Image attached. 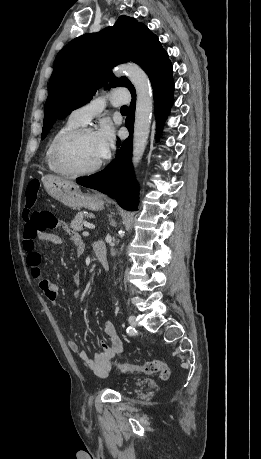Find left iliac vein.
<instances>
[{
    "mask_svg": "<svg viewBox=\"0 0 261 459\" xmlns=\"http://www.w3.org/2000/svg\"><path fill=\"white\" fill-rule=\"evenodd\" d=\"M128 321H129V323H130V325H131L132 327H136L137 321H136L135 316H130V317L128 318Z\"/></svg>",
    "mask_w": 261,
    "mask_h": 459,
    "instance_id": "4c4485c4",
    "label": "left iliac vein"
}]
</instances>
